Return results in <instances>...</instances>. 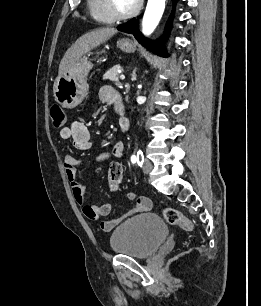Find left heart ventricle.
Masks as SVG:
<instances>
[{
  "label": "left heart ventricle",
  "mask_w": 261,
  "mask_h": 306,
  "mask_svg": "<svg viewBox=\"0 0 261 306\" xmlns=\"http://www.w3.org/2000/svg\"><path fill=\"white\" fill-rule=\"evenodd\" d=\"M117 11L124 13L134 8L138 0H113Z\"/></svg>",
  "instance_id": "obj_1"
}]
</instances>
